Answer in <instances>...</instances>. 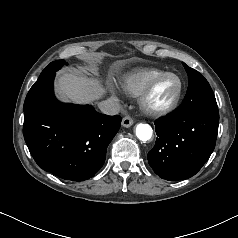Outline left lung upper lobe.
<instances>
[{"label": "left lung upper lobe", "mask_w": 238, "mask_h": 238, "mask_svg": "<svg viewBox=\"0 0 238 238\" xmlns=\"http://www.w3.org/2000/svg\"><path fill=\"white\" fill-rule=\"evenodd\" d=\"M188 74V90L183 104L177 110L181 114H190L198 109L217 106L213 91L207 80L195 69L183 63Z\"/></svg>", "instance_id": "1"}]
</instances>
